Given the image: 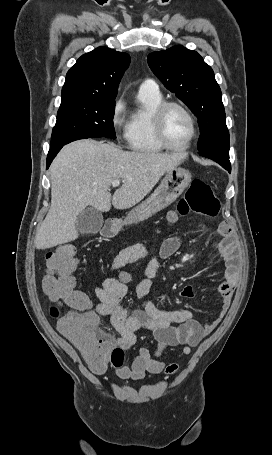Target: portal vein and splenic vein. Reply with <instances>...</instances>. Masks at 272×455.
<instances>
[{"label": "portal vein and splenic vein", "instance_id": "portal-vein-and-splenic-vein-1", "mask_svg": "<svg viewBox=\"0 0 272 455\" xmlns=\"http://www.w3.org/2000/svg\"><path fill=\"white\" fill-rule=\"evenodd\" d=\"M119 184H120V181H119V180H114V181L112 182V186H113V187H117V186H119Z\"/></svg>", "mask_w": 272, "mask_h": 455}]
</instances>
